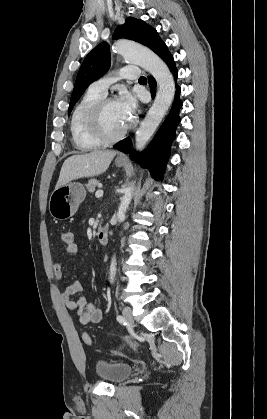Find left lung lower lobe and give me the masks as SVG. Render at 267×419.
Segmentation results:
<instances>
[{
    "instance_id": "obj_1",
    "label": "left lung lower lobe",
    "mask_w": 267,
    "mask_h": 419,
    "mask_svg": "<svg viewBox=\"0 0 267 419\" xmlns=\"http://www.w3.org/2000/svg\"><path fill=\"white\" fill-rule=\"evenodd\" d=\"M158 56L168 65L175 79H177L178 71L176 69L173 56L168 51L166 45H164ZM148 82L151 88L152 97L154 98L156 92V81L153 77H149ZM179 93L180 87L177 85L175 100L170 113L144 153L136 154V152L132 150V141L130 138H126L114 145V148L126 154L130 153V158L135 160L142 167L148 168L152 177L156 180H162L169 157L171 143L175 139V130L180 122L179 110L182 107V102L179 99Z\"/></svg>"
}]
</instances>
